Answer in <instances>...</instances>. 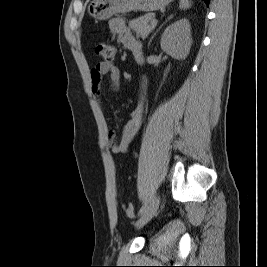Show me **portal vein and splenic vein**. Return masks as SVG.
<instances>
[{"label": "portal vein and splenic vein", "mask_w": 267, "mask_h": 267, "mask_svg": "<svg viewBox=\"0 0 267 267\" xmlns=\"http://www.w3.org/2000/svg\"><path fill=\"white\" fill-rule=\"evenodd\" d=\"M157 22H158V20H157V19H152L150 23H151V25H156V24H157Z\"/></svg>", "instance_id": "obj_1"}]
</instances>
